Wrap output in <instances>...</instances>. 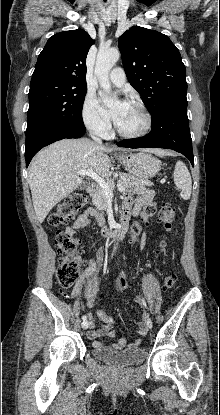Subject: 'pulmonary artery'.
Segmentation results:
<instances>
[{"mask_svg": "<svg viewBox=\"0 0 220 415\" xmlns=\"http://www.w3.org/2000/svg\"><path fill=\"white\" fill-rule=\"evenodd\" d=\"M110 81L117 87H121L124 85L126 78L125 74L122 68H114L110 75H109Z\"/></svg>", "mask_w": 220, "mask_h": 415, "instance_id": "obj_1", "label": "pulmonary artery"}]
</instances>
